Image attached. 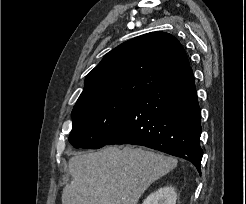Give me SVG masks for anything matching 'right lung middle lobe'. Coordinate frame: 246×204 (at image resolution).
Masks as SVG:
<instances>
[{"label": "right lung middle lobe", "instance_id": "obj_1", "mask_svg": "<svg viewBox=\"0 0 246 204\" xmlns=\"http://www.w3.org/2000/svg\"><path fill=\"white\" fill-rule=\"evenodd\" d=\"M139 95L102 97L75 104L69 142L75 148H101L114 138Z\"/></svg>", "mask_w": 246, "mask_h": 204}]
</instances>
